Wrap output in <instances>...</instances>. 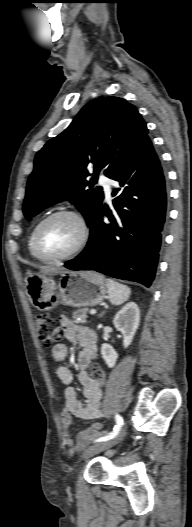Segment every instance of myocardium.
Listing matches in <instances>:
<instances>
[{"mask_svg":"<svg viewBox=\"0 0 192 527\" xmlns=\"http://www.w3.org/2000/svg\"><path fill=\"white\" fill-rule=\"evenodd\" d=\"M58 216H69V217L74 218L78 222L79 227H80V237H79V240H78L77 244L75 245V247L71 251H69L68 253H66L64 255H61V256L50 257V256L44 255L41 252L40 246H39V235H40V232H41L42 228L51 219H53L55 217H58ZM89 236H90L89 224H88L85 216L81 212H79L78 210H75V209H70V208L58 209L56 211L51 212L47 216H45L36 225V227L34 229V232H33L32 248H33V252H34L36 258H38L39 260H41L43 262H47V263H58V262L69 260V259L75 257L76 255H78L84 249V247L86 246V244H87V242L89 240Z\"/></svg>","mask_w":192,"mask_h":527,"instance_id":"f54148a6","label":"myocardium"}]
</instances>
